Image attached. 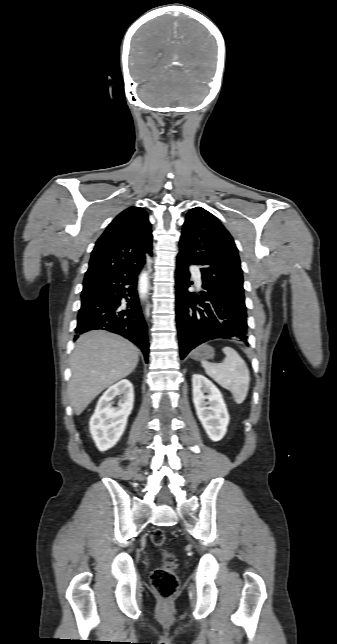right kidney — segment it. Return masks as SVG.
Returning <instances> with one entry per match:
<instances>
[{"label": "right kidney", "instance_id": "right-kidney-1", "mask_svg": "<svg viewBox=\"0 0 337 644\" xmlns=\"http://www.w3.org/2000/svg\"><path fill=\"white\" fill-rule=\"evenodd\" d=\"M121 397L116 407L113 399ZM134 391L129 380H121L109 387L100 397L89 425L92 438L100 451L113 447L125 431L133 409Z\"/></svg>", "mask_w": 337, "mask_h": 644}]
</instances>
